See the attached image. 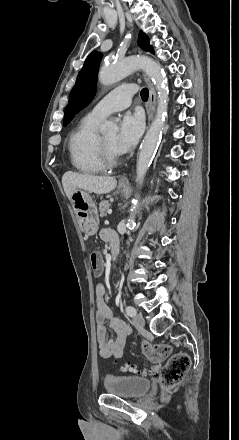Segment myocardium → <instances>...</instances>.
Returning a JSON list of instances; mask_svg holds the SVG:
<instances>
[{"label": "myocardium", "instance_id": "obj_1", "mask_svg": "<svg viewBox=\"0 0 239 440\" xmlns=\"http://www.w3.org/2000/svg\"><path fill=\"white\" fill-rule=\"evenodd\" d=\"M97 150L104 167L111 168L118 163V154L105 145L101 136L97 138Z\"/></svg>", "mask_w": 239, "mask_h": 440}]
</instances>
